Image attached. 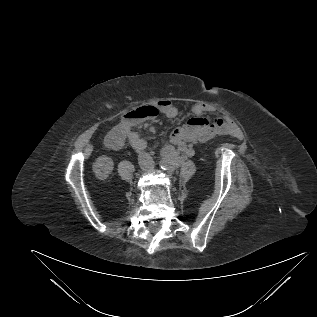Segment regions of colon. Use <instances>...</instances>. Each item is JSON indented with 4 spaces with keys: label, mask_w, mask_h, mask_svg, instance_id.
Masks as SVG:
<instances>
[{
    "label": "colon",
    "mask_w": 317,
    "mask_h": 317,
    "mask_svg": "<svg viewBox=\"0 0 317 317\" xmlns=\"http://www.w3.org/2000/svg\"><path fill=\"white\" fill-rule=\"evenodd\" d=\"M159 114V110L156 106L147 105L142 106L130 113L131 121L138 122L143 119H152Z\"/></svg>",
    "instance_id": "5ec220e1"
}]
</instances>
